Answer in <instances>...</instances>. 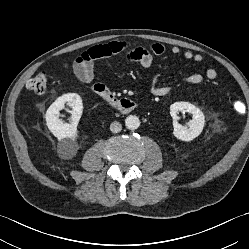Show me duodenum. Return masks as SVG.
Returning a JSON list of instances; mask_svg holds the SVG:
<instances>
[{"instance_id":"obj_1","label":"duodenum","mask_w":249,"mask_h":249,"mask_svg":"<svg viewBox=\"0 0 249 249\" xmlns=\"http://www.w3.org/2000/svg\"><path fill=\"white\" fill-rule=\"evenodd\" d=\"M94 92L123 114H128L138 107V103L129 98L118 97L109 90H94Z\"/></svg>"}]
</instances>
